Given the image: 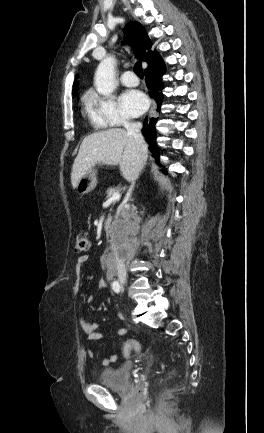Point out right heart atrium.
Masks as SVG:
<instances>
[{
  "label": "right heart atrium",
  "mask_w": 264,
  "mask_h": 433,
  "mask_svg": "<svg viewBox=\"0 0 264 433\" xmlns=\"http://www.w3.org/2000/svg\"><path fill=\"white\" fill-rule=\"evenodd\" d=\"M88 106L93 117L105 126H119L130 123L129 117L112 96L91 93L88 97Z\"/></svg>",
  "instance_id": "1"
}]
</instances>
